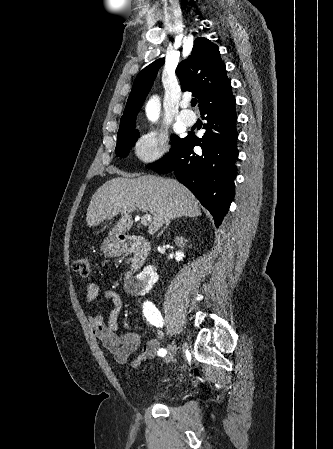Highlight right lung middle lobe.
<instances>
[{"label":"right lung middle lobe","mask_w":333,"mask_h":449,"mask_svg":"<svg viewBox=\"0 0 333 449\" xmlns=\"http://www.w3.org/2000/svg\"><path fill=\"white\" fill-rule=\"evenodd\" d=\"M135 128L134 121L129 122H121L119 131H118V137H117V145H116V155L120 157L127 156V152L130 150L132 146H134L135 142L137 141L139 137V133ZM181 139L178 136H174L172 138V148L168 155H166L162 160L153 163L151 165H148V167L155 168L158 165H160L162 162H164L171 154L173 153L176 145Z\"/></svg>","instance_id":"dd1d6c3e"}]
</instances>
